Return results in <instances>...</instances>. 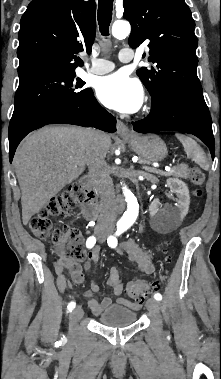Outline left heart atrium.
<instances>
[{
  "mask_svg": "<svg viewBox=\"0 0 221 379\" xmlns=\"http://www.w3.org/2000/svg\"><path fill=\"white\" fill-rule=\"evenodd\" d=\"M96 93L102 104L122 113L136 112L144 98L140 82L124 72L101 78Z\"/></svg>",
  "mask_w": 221,
  "mask_h": 379,
  "instance_id": "39dd6f15",
  "label": "left heart atrium"
}]
</instances>
